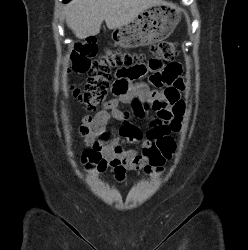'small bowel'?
<instances>
[{
    "label": "small bowel",
    "mask_w": 248,
    "mask_h": 250,
    "mask_svg": "<svg viewBox=\"0 0 248 250\" xmlns=\"http://www.w3.org/2000/svg\"><path fill=\"white\" fill-rule=\"evenodd\" d=\"M123 71H118L112 85L114 98L107 101L95 115L85 116L79 129L85 144L94 152V157L91 159L92 165L99 172L108 167L112 168L118 181L124 179L127 171L147 168L151 164L154 138L159 134L177 132L180 129V116L184 107L182 103V110L177 112L172 104L166 102L163 91H152L145 83H133L123 75ZM159 71H167L175 77L172 87L180 95L184 88L181 66L176 63L160 65ZM148 72H155L149 64L138 66L139 77ZM135 99L157 104V107L151 111V123L146 140H143L141 130L131 122V115L120 109L121 105L130 104ZM112 120L122 123L119 137H114L107 129ZM121 139L141 142V152L126 149Z\"/></svg>",
    "instance_id": "1"
}]
</instances>
